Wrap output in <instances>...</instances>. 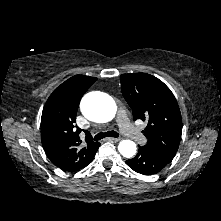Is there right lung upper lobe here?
Returning a JSON list of instances; mask_svg holds the SVG:
<instances>
[{
  "instance_id": "obj_1",
  "label": "right lung upper lobe",
  "mask_w": 221,
  "mask_h": 221,
  "mask_svg": "<svg viewBox=\"0 0 221 221\" xmlns=\"http://www.w3.org/2000/svg\"><path fill=\"white\" fill-rule=\"evenodd\" d=\"M97 80L75 75L62 83L48 98L41 117V141L48 158L60 169L74 172L95 156L100 143L79 137L76 114L84 93Z\"/></svg>"
}]
</instances>
